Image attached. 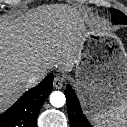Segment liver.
Segmentation results:
<instances>
[{
  "instance_id": "obj_1",
  "label": "liver",
  "mask_w": 127,
  "mask_h": 127,
  "mask_svg": "<svg viewBox=\"0 0 127 127\" xmlns=\"http://www.w3.org/2000/svg\"><path fill=\"white\" fill-rule=\"evenodd\" d=\"M86 21L81 10L64 5L0 19V112L30 88L31 75L52 67L72 70Z\"/></svg>"
}]
</instances>
